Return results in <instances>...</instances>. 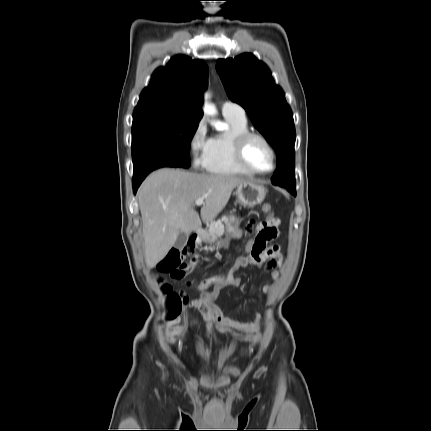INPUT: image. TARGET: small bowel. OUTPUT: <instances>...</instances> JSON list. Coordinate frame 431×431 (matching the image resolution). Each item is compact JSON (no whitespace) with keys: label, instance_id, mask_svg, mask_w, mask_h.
I'll use <instances>...</instances> for the list:
<instances>
[{"label":"small bowel","instance_id":"c3829d8e","mask_svg":"<svg viewBox=\"0 0 431 431\" xmlns=\"http://www.w3.org/2000/svg\"><path fill=\"white\" fill-rule=\"evenodd\" d=\"M279 225L280 221L276 218L271 222L263 221L258 224L251 221L246 228L247 233H255L251 256L244 254V259L237 258L230 268L226 266L223 269L224 272L212 273L211 277L195 286V289L200 292V296L192 300L191 306L203 312L210 339L214 338L215 331L232 332L236 338L251 342L250 346L243 350L244 353L252 352L259 347L262 340L261 317L257 316L251 323L225 317L215 305V300L225 288L236 287L240 284V279L236 276V272L240 268L256 266L275 275V269L281 262V248L280 245L270 242L278 237ZM209 287L212 289L208 290ZM271 289V284L263 287L264 293H269ZM187 335V327L179 325L177 320L165 326L164 337L170 346H181L186 341Z\"/></svg>","mask_w":431,"mask_h":431}]
</instances>
